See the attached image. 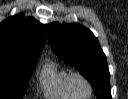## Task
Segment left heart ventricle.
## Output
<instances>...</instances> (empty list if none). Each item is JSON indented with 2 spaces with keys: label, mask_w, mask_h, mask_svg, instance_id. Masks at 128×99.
<instances>
[{
  "label": "left heart ventricle",
  "mask_w": 128,
  "mask_h": 99,
  "mask_svg": "<svg viewBox=\"0 0 128 99\" xmlns=\"http://www.w3.org/2000/svg\"><path fill=\"white\" fill-rule=\"evenodd\" d=\"M75 90L76 93L81 96V97H85L88 95V88L87 86L81 82V81H76L75 82Z\"/></svg>",
  "instance_id": "left-heart-ventricle-1"
}]
</instances>
